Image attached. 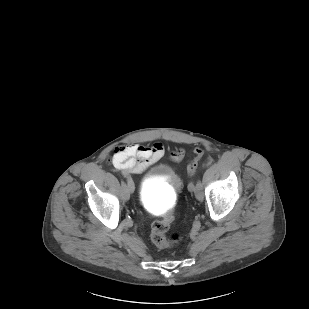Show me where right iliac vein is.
Instances as JSON below:
<instances>
[{"label": "right iliac vein", "instance_id": "63e3f726", "mask_svg": "<svg viewBox=\"0 0 309 309\" xmlns=\"http://www.w3.org/2000/svg\"><path fill=\"white\" fill-rule=\"evenodd\" d=\"M131 189H132V190H131ZM133 191H134V187H132V188L129 187V186H128V182H127V185H126V188H125V192H124V195H123V196H124V199H125V200H128L129 197H130V194L133 193Z\"/></svg>", "mask_w": 309, "mask_h": 309}]
</instances>
